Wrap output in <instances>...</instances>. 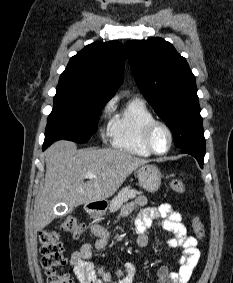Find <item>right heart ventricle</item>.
<instances>
[{
	"label": "right heart ventricle",
	"instance_id": "1",
	"mask_svg": "<svg viewBox=\"0 0 233 283\" xmlns=\"http://www.w3.org/2000/svg\"><path fill=\"white\" fill-rule=\"evenodd\" d=\"M154 119L145 102L140 99L129 101L110 121L108 134L112 147L132 155L150 156L142 142V130Z\"/></svg>",
	"mask_w": 233,
	"mask_h": 283
}]
</instances>
